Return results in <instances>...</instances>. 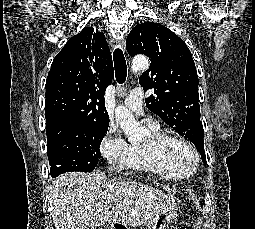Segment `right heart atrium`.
Masks as SVG:
<instances>
[{
    "mask_svg": "<svg viewBox=\"0 0 255 229\" xmlns=\"http://www.w3.org/2000/svg\"><path fill=\"white\" fill-rule=\"evenodd\" d=\"M129 145L115 127H110L101 142L100 151L108 165L121 168L124 165Z\"/></svg>",
    "mask_w": 255,
    "mask_h": 229,
    "instance_id": "d8ad5b80",
    "label": "right heart atrium"
}]
</instances>
